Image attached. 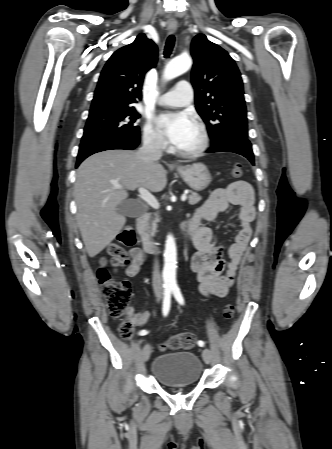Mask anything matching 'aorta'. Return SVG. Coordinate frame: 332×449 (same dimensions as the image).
<instances>
[{
    "instance_id": "1",
    "label": "aorta",
    "mask_w": 332,
    "mask_h": 449,
    "mask_svg": "<svg viewBox=\"0 0 332 449\" xmlns=\"http://www.w3.org/2000/svg\"><path fill=\"white\" fill-rule=\"evenodd\" d=\"M192 60L188 55H181L172 59L165 67L163 79L169 81L185 73L191 68ZM177 249L175 239L168 235L164 250V283L170 286L176 285Z\"/></svg>"
}]
</instances>
